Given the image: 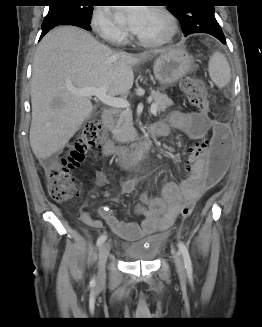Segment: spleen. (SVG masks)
I'll list each match as a JSON object with an SVG mask.
<instances>
[{
    "mask_svg": "<svg viewBox=\"0 0 262 327\" xmlns=\"http://www.w3.org/2000/svg\"><path fill=\"white\" fill-rule=\"evenodd\" d=\"M208 71L211 80L217 87H225L231 79L230 66L223 54L215 52L210 57Z\"/></svg>",
    "mask_w": 262,
    "mask_h": 327,
    "instance_id": "3e777b00",
    "label": "spleen"
}]
</instances>
